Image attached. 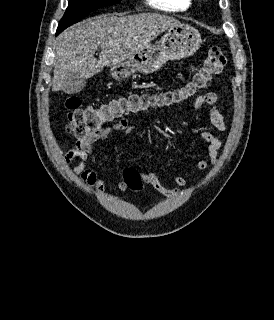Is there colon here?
I'll return each mask as SVG.
<instances>
[{
  "mask_svg": "<svg viewBox=\"0 0 274 320\" xmlns=\"http://www.w3.org/2000/svg\"><path fill=\"white\" fill-rule=\"evenodd\" d=\"M227 58L218 46H212L207 51L204 64L197 75L185 86L164 95L161 99L151 102L138 96L121 97L100 106L81 107L78 97H69L65 101L68 111L67 134H86L87 137L100 133L101 127L119 126V121H124V116L133 113L150 104L160 103L165 105L183 102L194 94L210 86L214 79L226 67ZM123 180L134 191L143 187L142 178L134 168H127Z\"/></svg>",
  "mask_w": 274,
  "mask_h": 320,
  "instance_id": "5ec220e1",
  "label": "colon"
}]
</instances>
